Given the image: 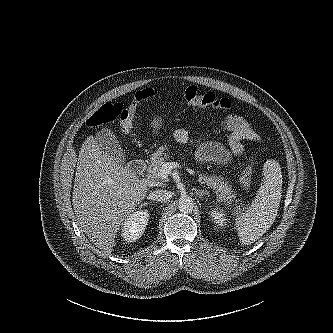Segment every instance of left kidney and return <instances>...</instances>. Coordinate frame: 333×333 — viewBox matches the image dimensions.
<instances>
[{
	"label": "left kidney",
	"mask_w": 333,
	"mask_h": 333,
	"mask_svg": "<svg viewBox=\"0 0 333 333\" xmlns=\"http://www.w3.org/2000/svg\"><path fill=\"white\" fill-rule=\"evenodd\" d=\"M212 221L219 227L222 228L224 227L227 222H226V214L223 212L222 209L220 208H213L211 209V211L209 212Z\"/></svg>",
	"instance_id": "obj_1"
}]
</instances>
